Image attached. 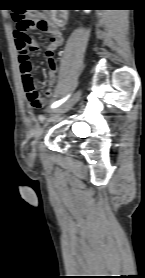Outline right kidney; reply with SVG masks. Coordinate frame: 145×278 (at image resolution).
<instances>
[{"mask_svg":"<svg viewBox=\"0 0 145 278\" xmlns=\"http://www.w3.org/2000/svg\"><path fill=\"white\" fill-rule=\"evenodd\" d=\"M90 10H85V12H89Z\"/></svg>","mask_w":145,"mask_h":278,"instance_id":"obj_1","label":"right kidney"}]
</instances>
